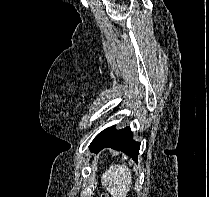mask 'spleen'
Wrapping results in <instances>:
<instances>
[{
  "mask_svg": "<svg viewBox=\"0 0 209 197\" xmlns=\"http://www.w3.org/2000/svg\"><path fill=\"white\" fill-rule=\"evenodd\" d=\"M101 181L113 197H126L132 184V174L125 164H114L102 175Z\"/></svg>",
  "mask_w": 209,
  "mask_h": 197,
  "instance_id": "3e777b00",
  "label": "spleen"
}]
</instances>
